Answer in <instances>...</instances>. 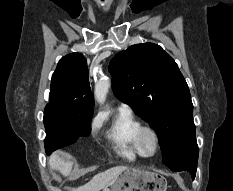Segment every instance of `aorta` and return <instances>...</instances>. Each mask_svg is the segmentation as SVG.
Masks as SVG:
<instances>
[{"mask_svg":"<svg viewBox=\"0 0 233 191\" xmlns=\"http://www.w3.org/2000/svg\"><path fill=\"white\" fill-rule=\"evenodd\" d=\"M110 84V80L105 77L96 82L94 96L99 104H103L105 102Z\"/></svg>","mask_w":233,"mask_h":191,"instance_id":"aorta-1","label":"aorta"}]
</instances>
